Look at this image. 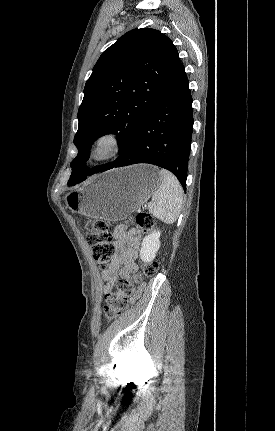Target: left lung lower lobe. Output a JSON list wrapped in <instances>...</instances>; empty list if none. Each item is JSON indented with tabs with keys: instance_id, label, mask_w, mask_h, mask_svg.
<instances>
[{
	"instance_id": "0a47b994",
	"label": "left lung lower lobe",
	"mask_w": 275,
	"mask_h": 431,
	"mask_svg": "<svg viewBox=\"0 0 275 431\" xmlns=\"http://www.w3.org/2000/svg\"><path fill=\"white\" fill-rule=\"evenodd\" d=\"M188 85L184 66L179 62L169 84L125 154L102 171L150 163L174 173L186 190L193 131L192 97ZM86 178V174H77L69 179L68 184L73 186Z\"/></svg>"
}]
</instances>
